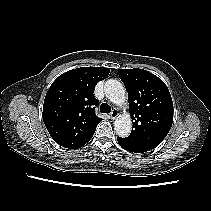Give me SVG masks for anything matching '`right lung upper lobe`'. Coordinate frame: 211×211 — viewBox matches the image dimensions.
I'll use <instances>...</instances> for the list:
<instances>
[{
  "label": "right lung upper lobe",
  "mask_w": 211,
  "mask_h": 211,
  "mask_svg": "<svg viewBox=\"0 0 211 211\" xmlns=\"http://www.w3.org/2000/svg\"><path fill=\"white\" fill-rule=\"evenodd\" d=\"M104 67H81L60 75L50 86L43 105V121L59 145L77 149L90 141L98 123L96 84L109 75Z\"/></svg>",
  "instance_id": "right-lung-upper-lobe-1"
}]
</instances>
